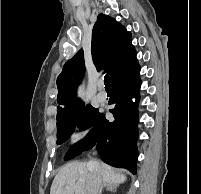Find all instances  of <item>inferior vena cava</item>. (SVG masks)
Returning a JSON list of instances; mask_svg holds the SVG:
<instances>
[{"label": "inferior vena cava", "instance_id": "obj_1", "mask_svg": "<svg viewBox=\"0 0 201 194\" xmlns=\"http://www.w3.org/2000/svg\"><path fill=\"white\" fill-rule=\"evenodd\" d=\"M90 170V177L86 187V194H99L101 186L100 164L98 161L91 160L87 163Z\"/></svg>", "mask_w": 201, "mask_h": 194}]
</instances>
